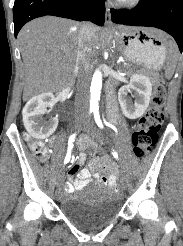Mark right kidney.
Masks as SVG:
<instances>
[{
    "label": "right kidney",
    "mask_w": 183,
    "mask_h": 246,
    "mask_svg": "<svg viewBox=\"0 0 183 246\" xmlns=\"http://www.w3.org/2000/svg\"><path fill=\"white\" fill-rule=\"evenodd\" d=\"M54 102L52 93H42L31 98L22 111L23 123L27 132L35 139H45L54 133L58 126V119L53 118L46 122L42 116L46 107Z\"/></svg>",
    "instance_id": "ca27d5eb"
}]
</instances>
